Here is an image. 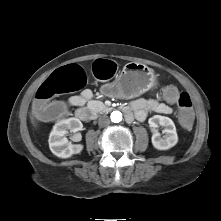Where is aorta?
<instances>
[{
	"mask_svg": "<svg viewBox=\"0 0 221 221\" xmlns=\"http://www.w3.org/2000/svg\"><path fill=\"white\" fill-rule=\"evenodd\" d=\"M111 121L114 123H119L122 121V113L120 111H113L111 113Z\"/></svg>",
	"mask_w": 221,
	"mask_h": 221,
	"instance_id": "obj_1",
	"label": "aorta"
}]
</instances>
